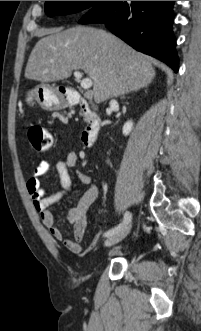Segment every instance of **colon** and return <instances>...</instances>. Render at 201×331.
I'll use <instances>...</instances> for the list:
<instances>
[{
  "instance_id": "5ec220e1",
  "label": "colon",
  "mask_w": 201,
  "mask_h": 331,
  "mask_svg": "<svg viewBox=\"0 0 201 331\" xmlns=\"http://www.w3.org/2000/svg\"><path fill=\"white\" fill-rule=\"evenodd\" d=\"M28 139L36 152L42 153L52 145V135L47 128L41 124H33L28 130Z\"/></svg>"
}]
</instances>
